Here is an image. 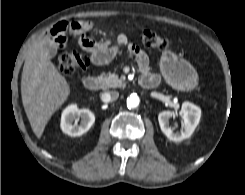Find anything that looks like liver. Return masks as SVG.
<instances>
[{"label":"liver","mask_w":245,"mask_h":195,"mask_svg":"<svg viewBox=\"0 0 245 195\" xmlns=\"http://www.w3.org/2000/svg\"><path fill=\"white\" fill-rule=\"evenodd\" d=\"M35 44L28 52L21 78L22 103L37 138H41L51 116L64 104L70 86L50 61L47 45Z\"/></svg>","instance_id":"1"}]
</instances>
